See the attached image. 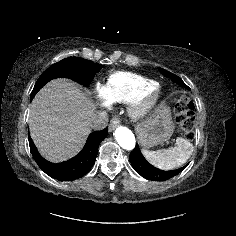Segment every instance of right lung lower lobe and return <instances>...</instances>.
I'll return each instance as SVG.
<instances>
[{
    "instance_id": "right-lung-lower-lobe-1",
    "label": "right lung lower lobe",
    "mask_w": 236,
    "mask_h": 236,
    "mask_svg": "<svg viewBox=\"0 0 236 236\" xmlns=\"http://www.w3.org/2000/svg\"><path fill=\"white\" fill-rule=\"evenodd\" d=\"M108 128L91 133L82 151L62 163H51L44 159L36 149L29 135V146L38 166L49 176L60 181H72L84 176L94 165L99 144L106 138Z\"/></svg>"
}]
</instances>
